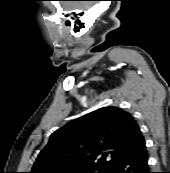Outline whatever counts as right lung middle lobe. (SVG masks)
Returning a JSON list of instances; mask_svg holds the SVG:
<instances>
[{
  "mask_svg": "<svg viewBox=\"0 0 170 173\" xmlns=\"http://www.w3.org/2000/svg\"><path fill=\"white\" fill-rule=\"evenodd\" d=\"M106 169L102 168H92V169H86V170H76L71 171V173H105Z\"/></svg>",
  "mask_w": 170,
  "mask_h": 173,
  "instance_id": "1",
  "label": "right lung middle lobe"
}]
</instances>
